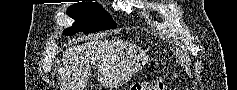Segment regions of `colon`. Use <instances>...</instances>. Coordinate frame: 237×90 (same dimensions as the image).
Instances as JSON below:
<instances>
[{"label":"colon","mask_w":237,"mask_h":90,"mask_svg":"<svg viewBox=\"0 0 237 90\" xmlns=\"http://www.w3.org/2000/svg\"><path fill=\"white\" fill-rule=\"evenodd\" d=\"M165 88L162 80L152 82H137L130 87V90H163Z\"/></svg>","instance_id":"obj_1"}]
</instances>
